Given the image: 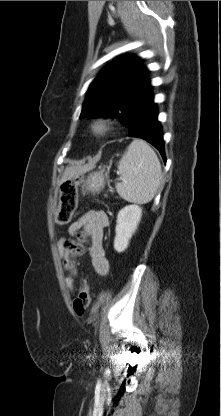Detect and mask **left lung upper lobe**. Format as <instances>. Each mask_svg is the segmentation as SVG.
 Returning <instances> with one entry per match:
<instances>
[{"instance_id":"5c2ea615","label":"left lung upper lobe","mask_w":221,"mask_h":416,"mask_svg":"<svg viewBox=\"0 0 221 416\" xmlns=\"http://www.w3.org/2000/svg\"><path fill=\"white\" fill-rule=\"evenodd\" d=\"M136 56L117 59L91 83L80 118L115 116L129 127L138 105L152 92L149 71Z\"/></svg>"}]
</instances>
